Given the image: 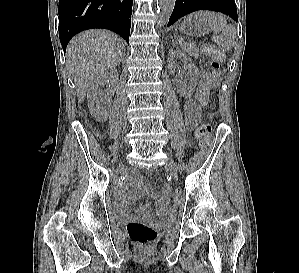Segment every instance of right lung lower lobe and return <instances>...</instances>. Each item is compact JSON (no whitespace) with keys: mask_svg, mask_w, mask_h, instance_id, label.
Returning <instances> with one entry per match:
<instances>
[{"mask_svg":"<svg viewBox=\"0 0 299 273\" xmlns=\"http://www.w3.org/2000/svg\"><path fill=\"white\" fill-rule=\"evenodd\" d=\"M133 0H59V38L63 50L77 33L109 29L129 44Z\"/></svg>","mask_w":299,"mask_h":273,"instance_id":"right-lung-lower-lobe-1","label":"right lung lower lobe"}]
</instances>
